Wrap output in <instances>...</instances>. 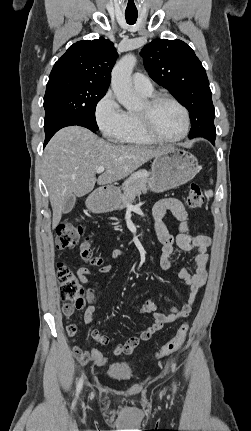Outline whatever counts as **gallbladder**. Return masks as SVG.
Here are the masks:
<instances>
[{
    "mask_svg": "<svg viewBox=\"0 0 251 431\" xmlns=\"http://www.w3.org/2000/svg\"><path fill=\"white\" fill-rule=\"evenodd\" d=\"M75 202H76V196L75 195L68 196L64 202V205L62 208V213L68 214L69 212H71L75 206Z\"/></svg>",
    "mask_w": 251,
    "mask_h": 431,
    "instance_id": "gallbladder-1",
    "label": "gallbladder"
}]
</instances>
